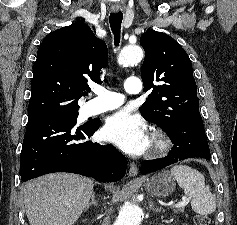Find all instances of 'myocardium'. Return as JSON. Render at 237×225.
Returning a JSON list of instances; mask_svg holds the SVG:
<instances>
[{
  "label": "myocardium",
  "instance_id": "obj_1",
  "mask_svg": "<svg viewBox=\"0 0 237 225\" xmlns=\"http://www.w3.org/2000/svg\"><path fill=\"white\" fill-rule=\"evenodd\" d=\"M171 149V140L161 129L154 128L149 137L147 155L151 158L166 155Z\"/></svg>",
  "mask_w": 237,
  "mask_h": 225
}]
</instances>
